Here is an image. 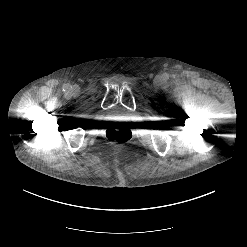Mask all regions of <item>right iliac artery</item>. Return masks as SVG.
Masks as SVG:
<instances>
[{
    "instance_id": "1",
    "label": "right iliac artery",
    "mask_w": 247,
    "mask_h": 247,
    "mask_svg": "<svg viewBox=\"0 0 247 247\" xmlns=\"http://www.w3.org/2000/svg\"><path fill=\"white\" fill-rule=\"evenodd\" d=\"M68 89H70V86L67 84L64 86V90H68Z\"/></svg>"
}]
</instances>
